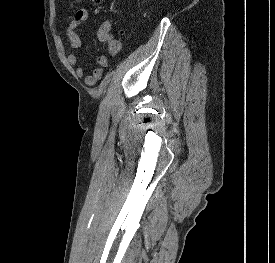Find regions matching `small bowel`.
<instances>
[{
  "instance_id": "c3829d8e",
  "label": "small bowel",
  "mask_w": 275,
  "mask_h": 263,
  "mask_svg": "<svg viewBox=\"0 0 275 263\" xmlns=\"http://www.w3.org/2000/svg\"><path fill=\"white\" fill-rule=\"evenodd\" d=\"M89 10L87 8L78 9L73 18L67 24V37L69 40L70 48L73 50L79 49L81 47L80 39V29L81 25L88 20ZM98 39L105 43L107 49L112 56H116L120 53L122 49V44L119 39L111 32L110 26L106 25L99 29L97 33ZM67 61L70 66H76L75 73L78 78L84 79V82L88 86H93L99 81L103 76V70L109 65L106 56L101 55L97 58V63L99 67L95 68L90 74L85 75L82 65L78 63V56L76 53H70L67 57Z\"/></svg>"
}]
</instances>
